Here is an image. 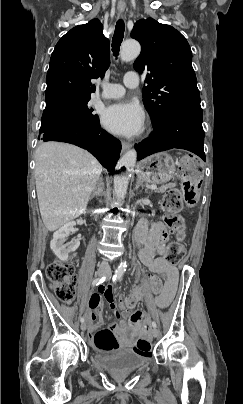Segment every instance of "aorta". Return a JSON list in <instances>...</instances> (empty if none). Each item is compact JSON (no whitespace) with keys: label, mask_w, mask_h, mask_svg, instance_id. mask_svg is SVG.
Wrapping results in <instances>:
<instances>
[{"label":"aorta","mask_w":243,"mask_h":404,"mask_svg":"<svg viewBox=\"0 0 243 404\" xmlns=\"http://www.w3.org/2000/svg\"><path fill=\"white\" fill-rule=\"evenodd\" d=\"M141 46L136 40H126L123 42L120 50V58L122 62H131L139 56ZM137 160V152L129 150L121 160L117 162L115 167L114 190L115 196L118 200H124L127 194V186L130 182V170L134 168ZM125 264H120L118 272H124Z\"/></svg>","instance_id":"762f6f07"}]
</instances>
